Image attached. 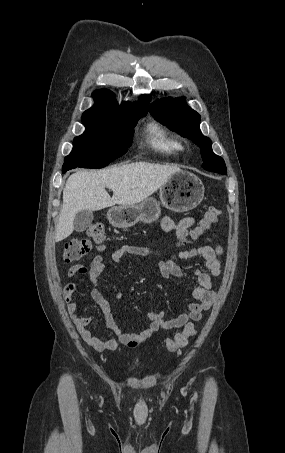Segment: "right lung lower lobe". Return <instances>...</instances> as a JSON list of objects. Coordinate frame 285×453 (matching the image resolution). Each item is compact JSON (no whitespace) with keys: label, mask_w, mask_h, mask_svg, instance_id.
I'll list each match as a JSON object with an SVG mask.
<instances>
[{"label":"right lung lower lobe","mask_w":285,"mask_h":453,"mask_svg":"<svg viewBox=\"0 0 285 453\" xmlns=\"http://www.w3.org/2000/svg\"><path fill=\"white\" fill-rule=\"evenodd\" d=\"M67 170H70V168H69V167H64V166H63V168H62L63 173H65Z\"/></svg>","instance_id":"right-lung-lower-lobe-1"}]
</instances>
